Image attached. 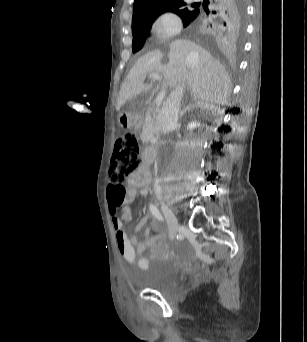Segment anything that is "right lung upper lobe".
Segmentation results:
<instances>
[{
	"instance_id": "right-lung-upper-lobe-1",
	"label": "right lung upper lobe",
	"mask_w": 307,
	"mask_h": 342,
	"mask_svg": "<svg viewBox=\"0 0 307 342\" xmlns=\"http://www.w3.org/2000/svg\"><path fill=\"white\" fill-rule=\"evenodd\" d=\"M184 0H135L132 34L149 32L155 19L164 12L178 14L184 26L191 24L201 35L212 41L224 40L234 16L240 9L238 0H204L201 6L186 7Z\"/></svg>"
}]
</instances>
